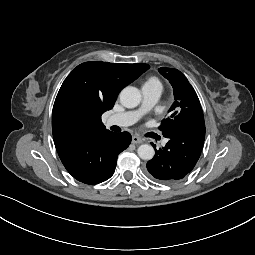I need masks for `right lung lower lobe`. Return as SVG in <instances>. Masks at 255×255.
I'll return each instance as SVG.
<instances>
[{
	"instance_id": "obj_1",
	"label": "right lung lower lobe",
	"mask_w": 255,
	"mask_h": 255,
	"mask_svg": "<svg viewBox=\"0 0 255 255\" xmlns=\"http://www.w3.org/2000/svg\"><path fill=\"white\" fill-rule=\"evenodd\" d=\"M130 142L128 132L105 131L59 146L57 152L75 179L93 185L106 181L114 174L117 157Z\"/></svg>"
}]
</instances>
